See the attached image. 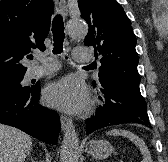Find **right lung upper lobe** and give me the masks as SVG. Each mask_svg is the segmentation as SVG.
Instances as JSON below:
<instances>
[{
  "label": "right lung upper lobe",
  "mask_w": 168,
  "mask_h": 162,
  "mask_svg": "<svg viewBox=\"0 0 168 162\" xmlns=\"http://www.w3.org/2000/svg\"><path fill=\"white\" fill-rule=\"evenodd\" d=\"M53 12L51 0H0V76L25 73V54L45 50Z\"/></svg>",
  "instance_id": "1"
}]
</instances>
